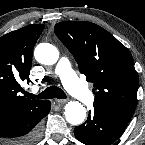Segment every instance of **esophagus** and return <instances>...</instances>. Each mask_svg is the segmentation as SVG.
Listing matches in <instances>:
<instances>
[{
    "label": "esophagus",
    "instance_id": "34e87169",
    "mask_svg": "<svg viewBox=\"0 0 145 145\" xmlns=\"http://www.w3.org/2000/svg\"><path fill=\"white\" fill-rule=\"evenodd\" d=\"M56 102L58 104H65L67 102V100L66 99H56Z\"/></svg>",
    "mask_w": 145,
    "mask_h": 145
}]
</instances>
